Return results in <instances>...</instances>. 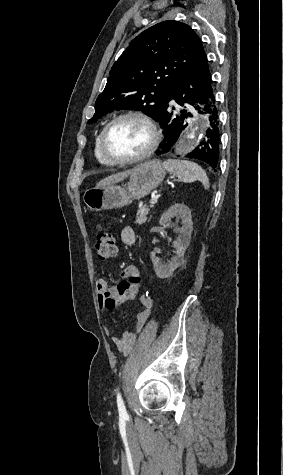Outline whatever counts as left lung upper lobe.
<instances>
[{"label": "left lung upper lobe", "instance_id": "left-lung-upper-lobe-1", "mask_svg": "<svg viewBox=\"0 0 283 475\" xmlns=\"http://www.w3.org/2000/svg\"><path fill=\"white\" fill-rule=\"evenodd\" d=\"M205 61L202 42L187 24L167 20L148 28L112 66L88 123L114 109L141 110L158 119L174 84Z\"/></svg>", "mask_w": 283, "mask_h": 475}]
</instances>
